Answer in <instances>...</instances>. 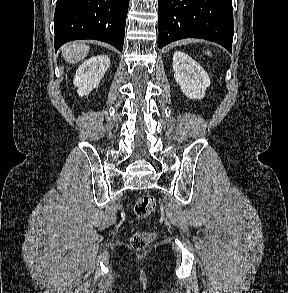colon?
<instances>
[{
    "mask_svg": "<svg viewBox=\"0 0 288 293\" xmlns=\"http://www.w3.org/2000/svg\"><path fill=\"white\" fill-rule=\"evenodd\" d=\"M155 208L153 196L142 195L134 206L135 214L138 218H147ZM154 234L150 232H137L131 238V245L135 250L145 249L153 240Z\"/></svg>",
    "mask_w": 288,
    "mask_h": 293,
    "instance_id": "1",
    "label": "colon"
}]
</instances>
